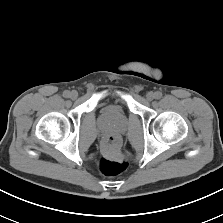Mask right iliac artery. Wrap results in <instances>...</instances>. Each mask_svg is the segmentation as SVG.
Listing matches in <instances>:
<instances>
[{"mask_svg": "<svg viewBox=\"0 0 223 223\" xmlns=\"http://www.w3.org/2000/svg\"><path fill=\"white\" fill-rule=\"evenodd\" d=\"M63 96H64L65 98L70 97V92H69L68 90L64 91Z\"/></svg>", "mask_w": 223, "mask_h": 223, "instance_id": "obj_1", "label": "right iliac artery"}]
</instances>
